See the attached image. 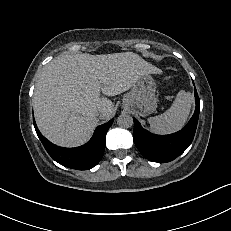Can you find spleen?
Masks as SVG:
<instances>
[{
  "label": "spleen",
  "instance_id": "obj_1",
  "mask_svg": "<svg viewBox=\"0 0 231 231\" xmlns=\"http://www.w3.org/2000/svg\"><path fill=\"white\" fill-rule=\"evenodd\" d=\"M191 106V93L179 91L168 110L148 119L151 131L156 134H171L180 130L188 119Z\"/></svg>",
  "mask_w": 231,
  "mask_h": 231
}]
</instances>
